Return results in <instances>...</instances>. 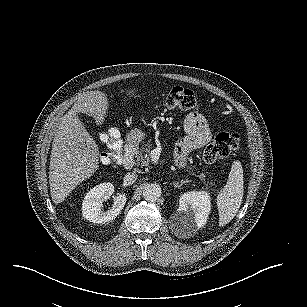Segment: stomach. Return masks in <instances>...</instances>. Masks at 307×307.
Wrapping results in <instances>:
<instances>
[{
  "instance_id": "stomach-1",
  "label": "stomach",
  "mask_w": 307,
  "mask_h": 307,
  "mask_svg": "<svg viewBox=\"0 0 307 307\" xmlns=\"http://www.w3.org/2000/svg\"><path fill=\"white\" fill-rule=\"evenodd\" d=\"M146 137V133L139 128L132 129L126 136V140L130 144H138Z\"/></svg>"
}]
</instances>
